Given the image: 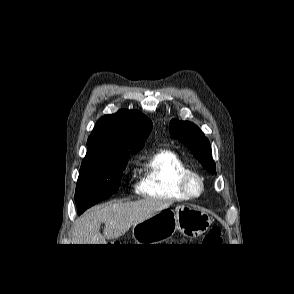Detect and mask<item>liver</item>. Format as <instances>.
I'll use <instances>...</instances> for the list:
<instances>
[{
	"label": "liver",
	"instance_id": "6515ba94",
	"mask_svg": "<svg viewBox=\"0 0 294 294\" xmlns=\"http://www.w3.org/2000/svg\"><path fill=\"white\" fill-rule=\"evenodd\" d=\"M170 202L145 198L134 202H115L94 207L83 213L72 228V244H106V239H116L131 226L145 221L168 208ZM101 223L105 224L103 234Z\"/></svg>",
	"mask_w": 294,
	"mask_h": 294
}]
</instances>
